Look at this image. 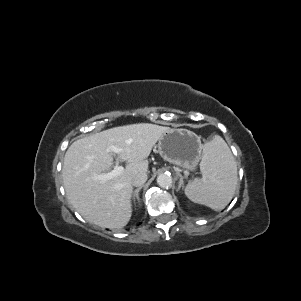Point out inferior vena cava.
Segmentation results:
<instances>
[{
	"mask_svg": "<svg viewBox=\"0 0 301 301\" xmlns=\"http://www.w3.org/2000/svg\"><path fill=\"white\" fill-rule=\"evenodd\" d=\"M147 173L146 172H138L132 178V185L135 187L142 186L147 181Z\"/></svg>",
	"mask_w": 301,
	"mask_h": 301,
	"instance_id": "obj_1",
	"label": "inferior vena cava"
}]
</instances>
